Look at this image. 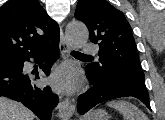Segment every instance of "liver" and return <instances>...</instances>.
Instances as JSON below:
<instances>
[{
	"mask_svg": "<svg viewBox=\"0 0 165 120\" xmlns=\"http://www.w3.org/2000/svg\"><path fill=\"white\" fill-rule=\"evenodd\" d=\"M34 114L24 105L0 97V120H34Z\"/></svg>",
	"mask_w": 165,
	"mask_h": 120,
	"instance_id": "liver-1",
	"label": "liver"
}]
</instances>
